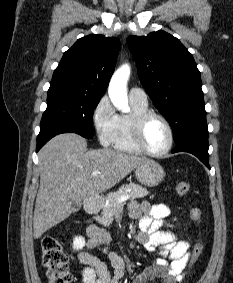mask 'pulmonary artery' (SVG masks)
Here are the masks:
<instances>
[{"instance_id":"e3ab8cb5","label":"pulmonary artery","mask_w":233,"mask_h":283,"mask_svg":"<svg viewBox=\"0 0 233 283\" xmlns=\"http://www.w3.org/2000/svg\"><path fill=\"white\" fill-rule=\"evenodd\" d=\"M129 99L131 102L139 103V104H147V95L146 93L140 89L133 87L129 91Z\"/></svg>"}]
</instances>
